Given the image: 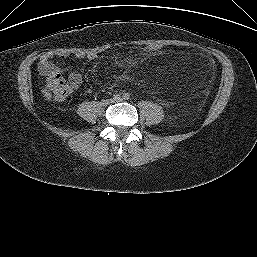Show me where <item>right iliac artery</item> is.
<instances>
[{
    "mask_svg": "<svg viewBox=\"0 0 257 257\" xmlns=\"http://www.w3.org/2000/svg\"><path fill=\"white\" fill-rule=\"evenodd\" d=\"M119 98H120V95H119V94L113 95V99H114V100H117V99H119Z\"/></svg>",
    "mask_w": 257,
    "mask_h": 257,
    "instance_id": "obj_1",
    "label": "right iliac artery"
}]
</instances>
